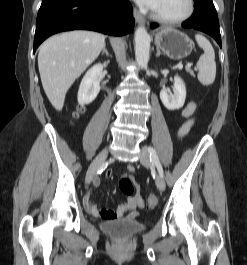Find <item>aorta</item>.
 Returning a JSON list of instances; mask_svg holds the SVG:
<instances>
[{
  "label": "aorta",
  "mask_w": 247,
  "mask_h": 265,
  "mask_svg": "<svg viewBox=\"0 0 247 265\" xmlns=\"http://www.w3.org/2000/svg\"><path fill=\"white\" fill-rule=\"evenodd\" d=\"M135 57L139 66L147 67L150 51V37L144 27H138L134 35Z\"/></svg>",
  "instance_id": "aorta-1"
}]
</instances>
